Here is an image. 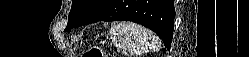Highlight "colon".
Instances as JSON below:
<instances>
[{"label": "colon", "mask_w": 249, "mask_h": 57, "mask_svg": "<svg viewBox=\"0 0 249 57\" xmlns=\"http://www.w3.org/2000/svg\"><path fill=\"white\" fill-rule=\"evenodd\" d=\"M83 57H106V55L99 48L93 47V48L88 49L84 53Z\"/></svg>", "instance_id": "obj_1"}]
</instances>
